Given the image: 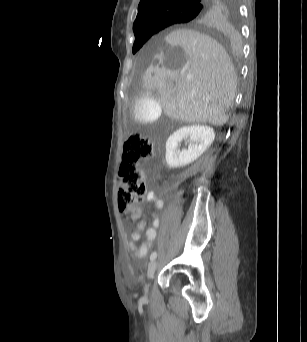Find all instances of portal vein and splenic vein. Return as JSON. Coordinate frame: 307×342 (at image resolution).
Listing matches in <instances>:
<instances>
[{"mask_svg":"<svg viewBox=\"0 0 307 342\" xmlns=\"http://www.w3.org/2000/svg\"><path fill=\"white\" fill-rule=\"evenodd\" d=\"M187 78H192V74H187Z\"/></svg>","mask_w":307,"mask_h":342,"instance_id":"portal-vein-and-splenic-vein-1","label":"portal vein and splenic vein"}]
</instances>
